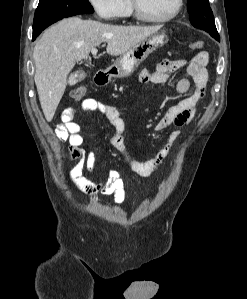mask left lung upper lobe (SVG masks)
Wrapping results in <instances>:
<instances>
[{
  "instance_id": "1",
  "label": "left lung upper lobe",
  "mask_w": 247,
  "mask_h": 299,
  "mask_svg": "<svg viewBox=\"0 0 247 299\" xmlns=\"http://www.w3.org/2000/svg\"><path fill=\"white\" fill-rule=\"evenodd\" d=\"M187 6L190 22L194 27L218 35L208 0H187Z\"/></svg>"
}]
</instances>
